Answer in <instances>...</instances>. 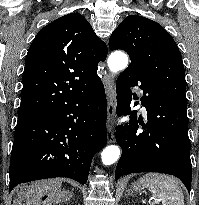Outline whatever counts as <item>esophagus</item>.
<instances>
[{
	"instance_id": "1",
	"label": "esophagus",
	"mask_w": 199,
	"mask_h": 205,
	"mask_svg": "<svg viewBox=\"0 0 199 205\" xmlns=\"http://www.w3.org/2000/svg\"><path fill=\"white\" fill-rule=\"evenodd\" d=\"M108 96L107 108V141L109 143L115 142L114 120H115V91L113 89V80L109 76L103 78Z\"/></svg>"
}]
</instances>
